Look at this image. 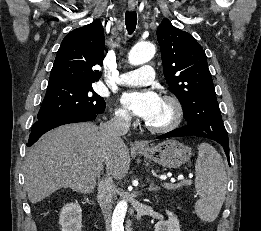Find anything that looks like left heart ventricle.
Here are the masks:
<instances>
[{
	"instance_id": "obj_1",
	"label": "left heart ventricle",
	"mask_w": 261,
	"mask_h": 231,
	"mask_svg": "<svg viewBox=\"0 0 261 231\" xmlns=\"http://www.w3.org/2000/svg\"><path fill=\"white\" fill-rule=\"evenodd\" d=\"M172 118V107L167 102L161 100L159 107L148 122L155 126H163L168 124Z\"/></svg>"
}]
</instances>
